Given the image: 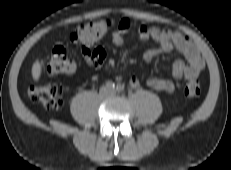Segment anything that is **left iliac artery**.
<instances>
[{
    "label": "left iliac artery",
    "mask_w": 231,
    "mask_h": 170,
    "mask_svg": "<svg viewBox=\"0 0 231 170\" xmlns=\"http://www.w3.org/2000/svg\"><path fill=\"white\" fill-rule=\"evenodd\" d=\"M124 89H125V87H124V85H122V84H118L117 87H116V90H117L118 92H123Z\"/></svg>",
    "instance_id": "left-iliac-artery-1"
}]
</instances>
